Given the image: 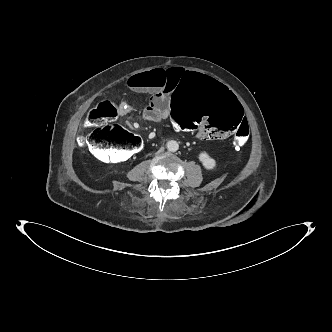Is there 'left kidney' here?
I'll return each mask as SVG.
<instances>
[{
	"label": "left kidney",
	"mask_w": 332,
	"mask_h": 332,
	"mask_svg": "<svg viewBox=\"0 0 332 332\" xmlns=\"http://www.w3.org/2000/svg\"><path fill=\"white\" fill-rule=\"evenodd\" d=\"M198 158L205 169L213 170L216 167V160L212 158L207 152H200Z\"/></svg>",
	"instance_id": "5707ae66"
}]
</instances>
